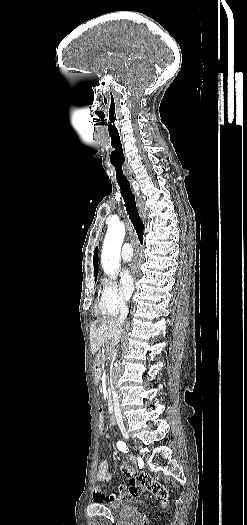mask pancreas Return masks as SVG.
Segmentation results:
<instances>
[{
    "mask_svg": "<svg viewBox=\"0 0 247 525\" xmlns=\"http://www.w3.org/2000/svg\"><path fill=\"white\" fill-rule=\"evenodd\" d=\"M96 361H98V364H101V358L100 355H95Z\"/></svg>",
    "mask_w": 247,
    "mask_h": 525,
    "instance_id": "pancreas-1",
    "label": "pancreas"
}]
</instances>
